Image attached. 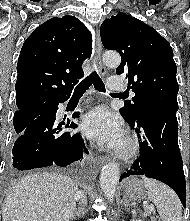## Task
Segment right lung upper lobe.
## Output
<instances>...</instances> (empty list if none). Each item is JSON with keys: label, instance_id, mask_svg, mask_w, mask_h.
<instances>
[{"label": "right lung upper lobe", "instance_id": "1", "mask_svg": "<svg viewBox=\"0 0 190 221\" xmlns=\"http://www.w3.org/2000/svg\"><path fill=\"white\" fill-rule=\"evenodd\" d=\"M91 52V33L76 17H55L40 25L25 40L18 59L15 113L70 96Z\"/></svg>", "mask_w": 190, "mask_h": 221}]
</instances>
